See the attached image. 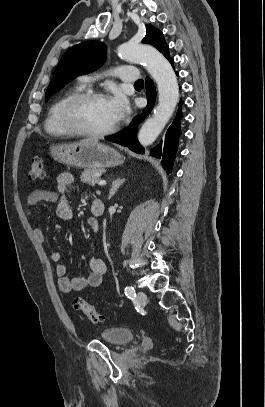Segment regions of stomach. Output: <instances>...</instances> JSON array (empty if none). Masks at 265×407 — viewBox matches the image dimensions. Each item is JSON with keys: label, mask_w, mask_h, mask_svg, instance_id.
Segmentation results:
<instances>
[{"label": "stomach", "mask_w": 265, "mask_h": 407, "mask_svg": "<svg viewBox=\"0 0 265 407\" xmlns=\"http://www.w3.org/2000/svg\"><path fill=\"white\" fill-rule=\"evenodd\" d=\"M50 155L60 163L86 169L116 167L125 160L117 150L97 141L53 145Z\"/></svg>", "instance_id": "stomach-1"}]
</instances>
